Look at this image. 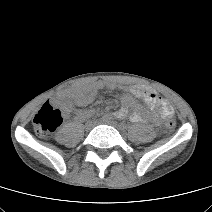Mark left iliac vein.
Instances as JSON below:
<instances>
[{
    "instance_id": "1",
    "label": "left iliac vein",
    "mask_w": 212,
    "mask_h": 212,
    "mask_svg": "<svg viewBox=\"0 0 212 212\" xmlns=\"http://www.w3.org/2000/svg\"><path fill=\"white\" fill-rule=\"evenodd\" d=\"M100 124H107L110 126H113L114 128L118 129L119 131H121V127L115 122V121H111V120H101L99 121Z\"/></svg>"
}]
</instances>
